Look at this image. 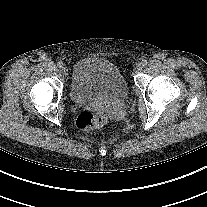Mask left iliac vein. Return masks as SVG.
Here are the masks:
<instances>
[{"label": "left iliac vein", "mask_w": 207, "mask_h": 207, "mask_svg": "<svg viewBox=\"0 0 207 207\" xmlns=\"http://www.w3.org/2000/svg\"><path fill=\"white\" fill-rule=\"evenodd\" d=\"M143 67H144V66H143L142 62H138V63L136 64V68H137V70H141Z\"/></svg>", "instance_id": "4c4485c4"}]
</instances>
